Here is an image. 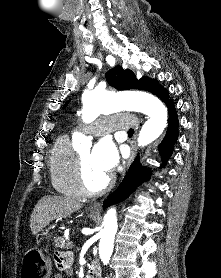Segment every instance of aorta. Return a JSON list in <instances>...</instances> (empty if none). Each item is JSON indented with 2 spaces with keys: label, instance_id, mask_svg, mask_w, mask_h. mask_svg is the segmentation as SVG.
I'll return each mask as SVG.
<instances>
[{
  "label": "aorta",
  "instance_id": "aorta-1",
  "mask_svg": "<svg viewBox=\"0 0 221 278\" xmlns=\"http://www.w3.org/2000/svg\"><path fill=\"white\" fill-rule=\"evenodd\" d=\"M127 109L142 112L149 117L140 130L137 139L138 146H146L159 138L167 125V110L158 98L148 93L140 92L127 98H118L106 91L97 89L89 91L83 96L82 120L90 123L100 114ZM73 141L82 144L86 138L80 133H75ZM103 225L99 242V256L106 265L113 253L114 238L118 228L115 208L108 209Z\"/></svg>",
  "mask_w": 221,
  "mask_h": 278
}]
</instances>
